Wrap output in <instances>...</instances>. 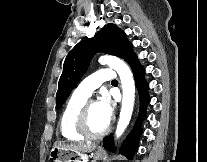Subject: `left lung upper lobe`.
Here are the masks:
<instances>
[{"label": "left lung upper lobe", "mask_w": 207, "mask_h": 162, "mask_svg": "<svg viewBox=\"0 0 207 162\" xmlns=\"http://www.w3.org/2000/svg\"><path fill=\"white\" fill-rule=\"evenodd\" d=\"M102 51L130 63L136 56L125 33L114 24L105 25L93 38L79 42L65 59L56 94V108L65 102L86 71L92 56Z\"/></svg>", "instance_id": "5c2ea615"}]
</instances>
